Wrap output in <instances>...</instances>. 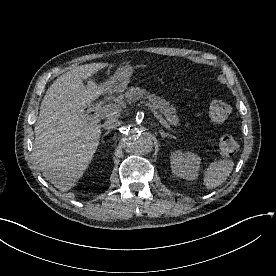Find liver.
<instances>
[{
    "instance_id": "obj_1",
    "label": "liver",
    "mask_w": 276,
    "mask_h": 276,
    "mask_svg": "<svg viewBox=\"0 0 276 276\" xmlns=\"http://www.w3.org/2000/svg\"><path fill=\"white\" fill-rule=\"evenodd\" d=\"M108 63L74 67L48 88L35 124V157L43 176L61 192L73 188L90 164L99 144L101 125L85 108L103 93L93 80L83 83Z\"/></svg>"
}]
</instances>
